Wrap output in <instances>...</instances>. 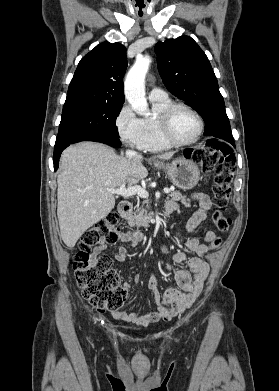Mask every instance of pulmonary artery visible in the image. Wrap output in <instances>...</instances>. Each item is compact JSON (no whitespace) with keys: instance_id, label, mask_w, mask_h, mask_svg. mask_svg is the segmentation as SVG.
Here are the masks:
<instances>
[{"instance_id":"1","label":"pulmonary artery","mask_w":279,"mask_h":391,"mask_svg":"<svg viewBox=\"0 0 279 391\" xmlns=\"http://www.w3.org/2000/svg\"><path fill=\"white\" fill-rule=\"evenodd\" d=\"M148 97L150 100H162V99H166L168 97V95L163 89L158 88V87H153L149 91Z\"/></svg>"}]
</instances>
